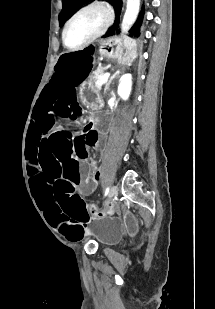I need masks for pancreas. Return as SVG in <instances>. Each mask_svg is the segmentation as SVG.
Instances as JSON below:
<instances>
[{"instance_id": "1", "label": "pancreas", "mask_w": 215, "mask_h": 309, "mask_svg": "<svg viewBox=\"0 0 215 309\" xmlns=\"http://www.w3.org/2000/svg\"><path fill=\"white\" fill-rule=\"evenodd\" d=\"M93 74H94V82H97V80H100L101 76H103V74H106V72H104V68H102V66H99L97 70H93ZM103 84H105V88H108L110 82L108 80V82H103Z\"/></svg>"}]
</instances>
